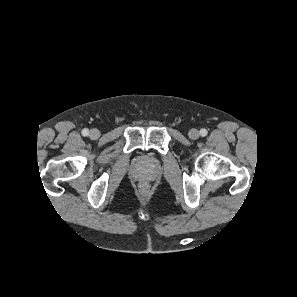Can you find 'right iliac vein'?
<instances>
[{"label":"right iliac vein","instance_id":"1","mask_svg":"<svg viewBox=\"0 0 297 297\" xmlns=\"http://www.w3.org/2000/svg\"><path fill=\"white\" fill-rule=\"evenodd\" d=\"M100 136V132L98 129H91L90 132H89V137L91 139H98Z\"/></svg>","mask_w":297,"mask_h":297}]
</instances>
